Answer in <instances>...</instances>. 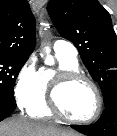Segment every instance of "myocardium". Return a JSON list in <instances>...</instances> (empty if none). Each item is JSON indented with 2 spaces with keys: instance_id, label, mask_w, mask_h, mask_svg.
I'll list each match as a JSON object with an SVG mask.
<instances>
[{
  "instance_id": "obj_1",
  "label": "myocardium",
  "mask_w": 117,
  "mask_h": 136,
  "mask_svg": "<svg viewBox=\"0 0 117 136\" xmlns=\"http://www.w3.org/2000/svg\"><path fill=\"white\" fill-rule=\"evenodd\" d=\"M76 82H85L91 86L96 96L95 113L87 119H77L68 115L62 105L61 95L63 91L71 84ZM48 106L51 112L60 118L75 124H90L96 121L103 110V97L97 84L87 75L80 71L65 70L58 72L51 81L47 96Z\"/></svg>"
}]
</instances>
